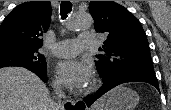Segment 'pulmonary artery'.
<instances>
[{"label":"pulmonary artery","instance_id":"pulmonary-artery-1","mask_svg":"<svg viewBox=\"0 0 171 110\" xmlns=\"http://www.w3.org/2000/svg\"><path fill=\"white\" fill-rule=\"evenodd\" d=\"M96 44L94 33H82L77 39H67L57 42L52 52L59 57H73L83 48H89Z\"/></svg>","mask_w":171,"mask_h":110}]
</instances>
